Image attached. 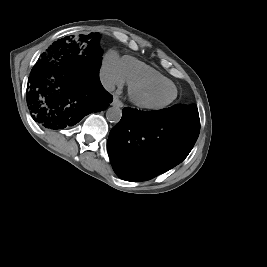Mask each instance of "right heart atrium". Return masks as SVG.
I'll return each instance as SVG.
<instances>
[{
	"label": "right heart atrium",
	"instance_id": "obj_1",
	"mask_svg": "<svg viewBox=\"0 0 267 267\" xmlns=\"http://www.w3.org/2000/svg\"><path fill=\"white\" fill-rule=\"evenodd\" d=\"M100 76L104 86L108 89L120 87L125 83L121 60L114 51H110L105 55Z\"/></svg>",
	"mask_w": 267,
	"mask_h": 267
}]
</instances>
